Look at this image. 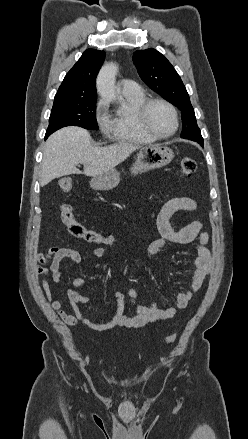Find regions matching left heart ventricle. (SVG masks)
I'll use <instances>...</instances> for the list:
<instances>
[{
  "label": "left heart ventricle",
  "mask_w": 248,
  "mask_h": 439,
  "mask_svg": "<svg viewBox=\"0 0 248 439\" xmlns=\"http://www.w3.org/2000/svg\"><path fill=\"white\" fill-rule=\"evenodd\" d=\"M148 122L151 128L161 135L169 134L174 128V119L168 107L154 103L148 111Z\"/></svg>",
  "instance_id": "b2bd125f"
}]
</instances>
